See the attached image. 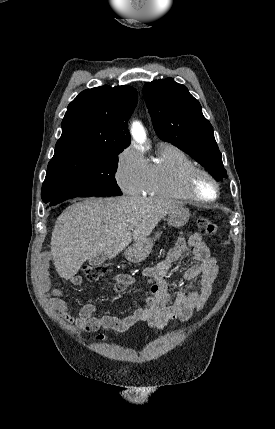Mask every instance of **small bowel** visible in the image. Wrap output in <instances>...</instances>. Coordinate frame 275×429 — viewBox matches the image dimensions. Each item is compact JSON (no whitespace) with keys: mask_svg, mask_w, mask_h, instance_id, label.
Here are the masks:
<instances>
[{"mask_svg":"<svg viewBox=\"0 0 275 429\" xmlns=\"http://www.w3.org/2000/svg\"><path fill=\"white\" fill-rule=\"evenodd\" d=\"M188 254L192 255L197 262L184 271L183 279L189 282L199 278V285L197 288L177 290L174 303L170 304L172 292L165 276L178 260ZM144 276L150 282L151 294L145 299L143 307L124 317L95 316L96 305L94 303L84 304L80 308L79 314L73 316L70 304L62 298V292L59 289L46 285L44 292L50 306L65 321L83 332L90 333L99 329L125 332L141 322L147 323L154 329H163L169 321H187L194 312L203 309L213 293L215 281L219 276V267L209 248L202 241L201 235L187 233L177 240L163 261L154 267L146 268ZM70 282L72 285L80 286L83 278L80 275H74ZM132 283L133 279L128 274H118L114 277L116 292L125 291Z\"/></svg>","mask_w":275,"mask_h":429,"instance_id":"1","label":"small bowel"}]
</instances>
